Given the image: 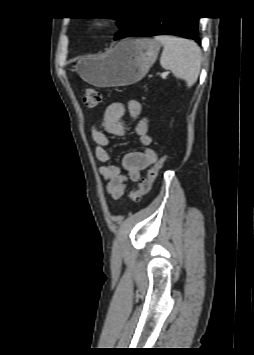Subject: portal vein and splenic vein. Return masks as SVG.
<instances>
[{
	"label": "portal vein and splenic vein",
	"mask_w": 254,
	"mask_h": 355,
	"mask_svg": "<svg viewBox=\"0 0 254 355\" xmlns=\"http://www.w3.org/2000/svg\"><path fill=\"white\" fill-rule=\"evenodd\" d=\"M169 74V72H162L160 75L162 78H166V76Z\"/></svg>",
	"instance_id": "18ae733b"
}]
</instances>
